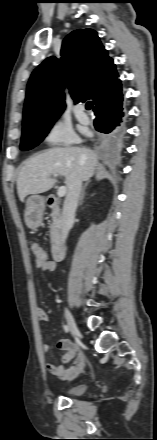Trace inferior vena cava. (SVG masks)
<instances>
[{
    "mask_svg": "<svg viewBox=\"0 0 157 440\" xmlns=\"http://www.w3.org/2000/svg\"><path fill=\"white\" fill-rule=\"evenodd\" d=\"M82 180L76 177L69 187L62 212L61 242L64 243L74 223L75 211L80 198Z\"/></svg>",
    "mask_w": 157,
    "mask_h": 440,
    "instance_id": "602c4592",
    "label": "inferior vena cava"
}]
</instances>
